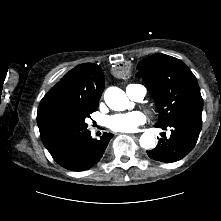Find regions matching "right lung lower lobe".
<instances>
[{
  "instance_id": "98d812e1",
  "label": "right lung lower lobe",
  "mask_w": 221,
  "mask_h": 221,
  "mask_svg": "<svg viewBox=\"0 0 221 221\" xmlns=\"http://www.w3.org/2000/svg\"><path fill=\"white\" fill-rule=\"evenodd\" d=\"M112 137L111 133H104L97 140L93 139L88 131L67 146L50 154L62 167L72 171H84L100 161Z\"/></svg>"
}]
</instances>
